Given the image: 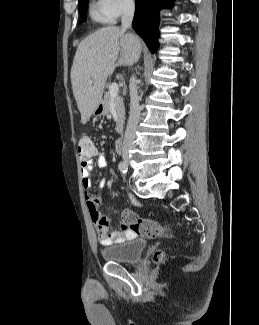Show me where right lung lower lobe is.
Segmentation results:
<instances>
[{
  "mask_svg": "<svg viewBox=\"0 0 259 325\" xmlns=\"http://www.w3.org/2000/svg\"><path fill=\"white\" fill-rule=\"evenodd\" d=\"M172 2L173 0H136L133 28L153 53L158 46L159 11Z\"/></svg>",
  "mask_w": 259,
  "mask_h": 325,
  "instance_id": "1",
  "label": "right lung lower lobe"
}]
</instances>
